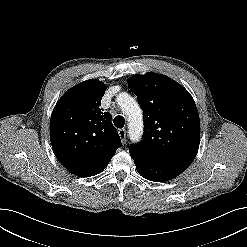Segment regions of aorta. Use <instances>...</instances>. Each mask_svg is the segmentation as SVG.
Wrapping results in <instances>:
<instances>
[{"instance_id": "1", "label": "aorta", "mask_w": 247, "mask_h": 247, "mask_svg": "<svg viewBox=\"0 0 247 247\" xmlns=\"http://www.w3.org/2000/svg\"><path fill=\"white\" fill-rule=\"evenodd\" d=\"M118 102L123 113L128 117L131 139L138 141L143 131L142 111L139 105L127 93H121Z\"/></svg>"}]
</instances>
